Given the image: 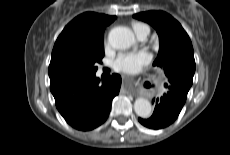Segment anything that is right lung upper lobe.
I'll use <instances>...</instances> for the list:
<instances>
[{
    "label": "right lung upper lobe",
    "instance_id": "right-lung-upper-lobe-1",
    "mask_svg": "<svg viewBox=\"0 0 230 155\" xmlns=\"http://www.w3.org/2000/svg\"><path fill=\"white\" fill-rule=\"evenodd\" d=\"M116 16L94 12L83 13L74 18L57 38L51 61L66 52H87L104 47V30Z\"/></svg>",
    "mask_w": 230,
    "mask_h": 155
}]
</instances>
